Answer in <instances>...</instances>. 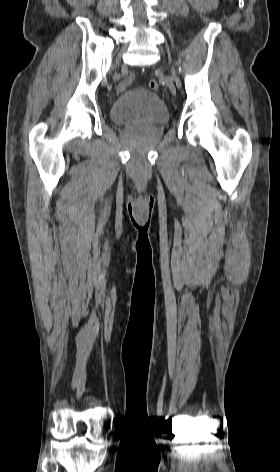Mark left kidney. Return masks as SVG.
Segmentation results:
<instances>
[{
    "mask_svg": "<svg viewBox=\"0 0 280 472\" xmlns=\"http://www.w3.org/2000/svg\"><path fill=\"white\" fill-rule=\"evenodd\" d=\"M188 2L193 7L201 11L209 10L215 7V4H213V0H188Z\"/></svg>",
    "mask_w": 280,
    "mask_h": 472,
    "instance_id": "obj_1",
    "label": "left kidney"
}]
</instances>
